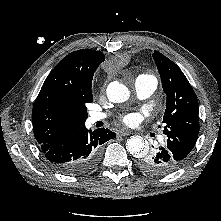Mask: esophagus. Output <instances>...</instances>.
I'll return each mask as SVG.
<instances>
[{"label": "esophagus", "instance_id": "obj_1", "mask_svg": "<svg viewBox=\"0 0 221 221\" xmlns=\"http://www.w3.org/2000/svg\"><path fill=\"white\" fill-rule=\"evenodd\" d=\"M131 134V131L126 130V129H121L120 131H118V135L120 136H128Z\"/></svg>", "mask_w": 221, "mask_h": 221}]
</instances>
